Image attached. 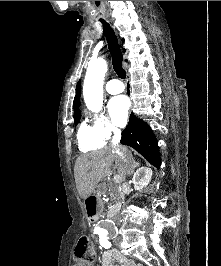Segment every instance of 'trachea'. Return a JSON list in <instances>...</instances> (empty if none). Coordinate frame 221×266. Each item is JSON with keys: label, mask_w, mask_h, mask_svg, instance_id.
<instances>
[{"label": "trachea", "mask_w": 221, "mask_h": 266, "mask_svg": "<svg viewBox=\"0 0 221 266\" xmlns=\"http://www.w3.org/2000/svg\"><path fill=\"white\" fill-rule=\"evenodd\" d=\"M101 22L103 24V32L106 37L109 51L112 57L113 68L119 78L125 79L126 72L122 67L123 55L120 49V45L118 44L117 36L114 30L110 27V25L107 22L103 20Z\"/></svg>", "instance_id": "trachea-1"}]
</instances>
